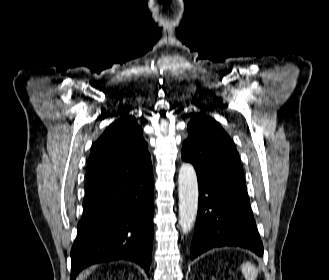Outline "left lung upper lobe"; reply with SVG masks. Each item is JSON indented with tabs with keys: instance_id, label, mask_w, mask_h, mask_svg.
Returning <instances> with one entry per match:
<instances>
[{
	"instance_id": "left-lung-upper-lobe-1",
	"label": "left lung upper lobe",
	"mask_w": 329,
	"mask_h": 280,
	"mask_svg": "<svg viewBox=\"0 0 329 280\" xmlns=\"http://www.w3.org/2000/svg\"><path fill=\"white\" fill-rule=\"evenodd\" d=\"M182 159L194 165L198 182L203 186H226L227 171L237 173L244 180L234 143L219 123L205 114L198 113L189 122Z\"/></svg>"
}]
</instances>
